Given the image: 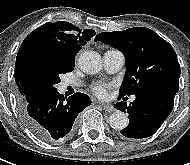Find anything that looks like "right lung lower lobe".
Listing matches in <instances>:
<instances>
[{
  "instance_id": "1",
  "label": "right lung lower lobe",
  "mask_w": 190,
  "mask_h": 165,
  "mask_svg": "<svg viewBox=\"0 0 190 165\" xmlns=\"http://www.w3.org/2000/svg\"><path fill=\"white\" fill-rule=\"evenodd\" d=\"M90 104L86 94L75 93L67 98L54 89L33 96L20 112L28 128L49 142L69 135L77 115Z\"/></svg>"
}]
</instances>
